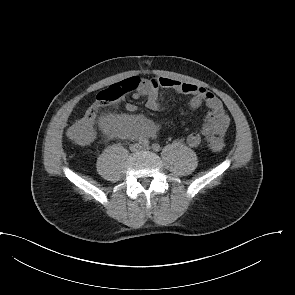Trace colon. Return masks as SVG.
<instances>
[{
    "mask_svg": "<svg viewBox=\"0 0 295 295\" xmlns=\"http://www.w3.org/2000/svg\"><path fill=\"white\" fill-rule=\"evenodd\" d=\"M139 85L140 79L132 77L112 84L105 90L100 91L84 115L68 129L67 135L69 139L77 145L89 143L94 137V124L98 110L101 107L110 106L119 102L127 92L137 90ZM208 144L216 152L224 148V141L219 138L210 140Z\"/></svg>",
    "mask_w": 295,
    "mask_h": 295,
    "instance_id": "obj_1",
    "label": "colon"
}]
</instances>
